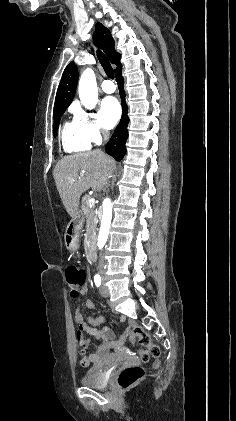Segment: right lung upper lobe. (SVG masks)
Masks as SVG:
<instances>
[{"mask_svg":"<svg viewBox=\"0 0 236 421\" xmlns=\"http://www.w3.org/2000/svg\"><path fill=\"white\" fill-rule=\"evenodd\" d=\"M94 42L105 52L109 61L117 66L115 69V72H117L121 67V55L114 49V39L112 38L110 31L101 23L96 25ZM77 81V67L73 62H71L67 65L63 72L56 94L54 110L67 108L70 105L75 94Z\"/></svg>","mask_w":236,"mask_h":421,"instance_id":"1","label":"right lung upper lobe"}]
</instances>
